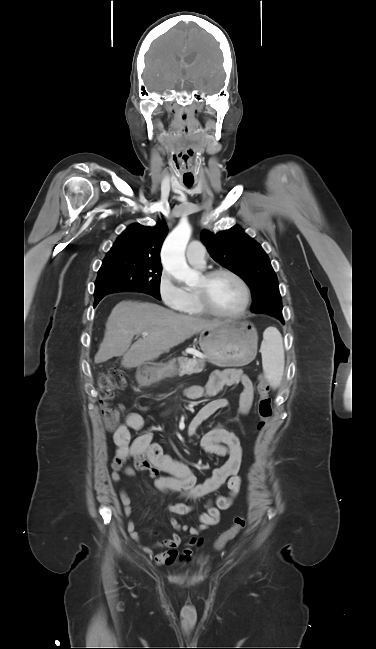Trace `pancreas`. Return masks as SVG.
Returning <instances> with one entry per match:
<instances>
[{
  "mask_svg": "<svg viewBox=\"0 0 376 649\" xmlns=\"http://www.w3.org/2000/svg\"><path fill=\"white\" fill-rule=\"evenodd\" d=\"M204 367H205V363L203 360L182 358L179 362L178 375L183 376L185 374L192 375V374L200 373L203 371ZM166 376H170V373H166L164 377Z\"/></svg>",
  "mask_w": 376,
  "mask_h": 649,
  "instance_id": "obj_1",
  "label": "pancreas"
}]
</instances>
